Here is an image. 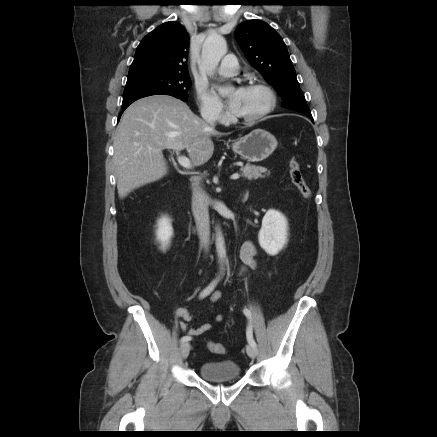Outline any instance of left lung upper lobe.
Wrapping results in <instances>:
<instances>
[{
    "mask_svg": "<svg viewBox=\"0 0 437 437\" xmlns=\"http://www.w3.org/2000/svg\"><path fill=\"white\" fill-rule=\"evenodd\" d=\"M235 38L247 60L283 98L282 105L311 116L280 35L267 23L254 19L241 23L235 30Z\"/></svg>",
    "mask_w": 437,
    "mask_h": 437,
    "instance_id": "1",
    "label": "left lung upper lobe"
}]
</instances>
